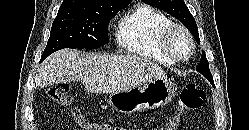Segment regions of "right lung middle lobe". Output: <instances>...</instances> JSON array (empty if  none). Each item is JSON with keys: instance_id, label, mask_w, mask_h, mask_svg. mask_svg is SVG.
<instances>
[{"instance_id": "obj_1", "label": "right lung middle lobe", "mask_w": 249, "mask_h": 130, "mask_svg": "<svg viewBox=\"0 0 249 130\" xmlns=\"http://www.w3.org/2000/svg\"><path fill=\"white\" fill-rule=\"evenodd\" d=\"M127 4H114L97 11L60 8L41 61L63 48L96 49L108 44V23Z\"/></svg>"}]
</instances>
